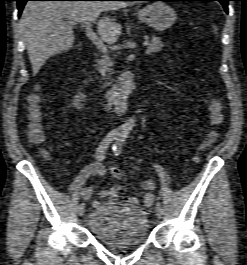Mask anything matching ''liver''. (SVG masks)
I'll return each instance as SVG.
<instances>
[{
  "label": "liver",
  "mask_w": 247,
  "mask_h": 265,
  "mask_svg": "<svg viewBox=\"0 0 247 265\" xmlns=\"http://www.w3.org/2000/svg\"><path fill=\"white\" fill-rule=\"evenodd\" d=\"M132 5L117 1H29L23 10L20 27L26 42L33 75L53 55L73 46L71 21L96 22L101 12L116 11ZM97 32L104 42L117 41L121 26L110 17L97 22Z\"/></svg>",
  "instance_id": "6515ba94"
}]
</instances>
